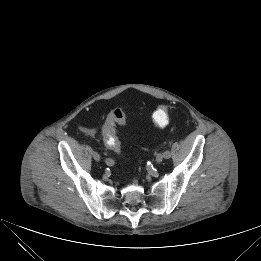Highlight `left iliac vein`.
<instances>
[{
  "label": "left iliac vein",
  "instance_id": "obj_1",
  "mask_svg": "<svg viewBox=\"0 0 261 261\" xmlns=\"http://www.w3.org/2000/svg\"><path fill=\"white\" fill-rule=\"evenodd\" d=\"M164 159V156H163V153H159L157 156H156V162L157 163H161Z\"/></svg>",
  "mask_w": 261,
  "mask_h": 261
}]
</instances>
